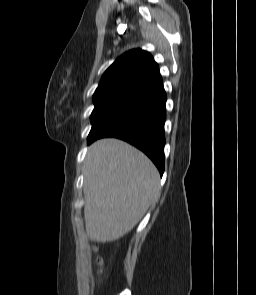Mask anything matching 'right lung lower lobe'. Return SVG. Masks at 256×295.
Segmentation results:
<instances>
[{
	"label": "right lung lower lobe",
	"instance_id": "obj_1",
	"mask_svg": "<svg viewBox=\"0 0 256 295\" xmlns=\"http://www.w3.org/2000/svg\"><path fill=\"white\" fill-rule=\"evenodd\" d=\"M166 93L162 79L136 96L102 129L88 137V144L103 137H116L143 151L164 172V123Z\"/></svg>",
	"mask_w": 256,
	"mask_h": 295
}]
</instances>
